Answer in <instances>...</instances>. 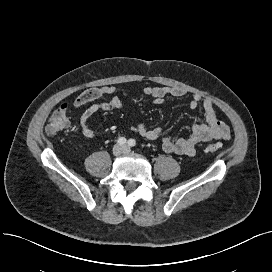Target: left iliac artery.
Segmentation results:
<instances>
[{
	"label": "left iliac artery",
	"instance_id": "obj_1",
	"mask_svg": "<svg viewBox=\"0 0 272 272\" xmlns=\"http://www.w3.org/2000/svg\"><path fill=\"white\" fill-rule=\"evenodd\" d=\"M128 145H129L130 147H134V146L136 145V141H135L134 139H130V140L128 141Z\"/></svg>",
	"mask_w": 272,
	"mask_h": 272
}]
</instances>
